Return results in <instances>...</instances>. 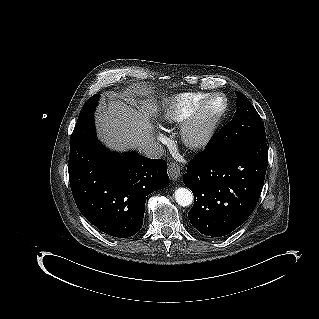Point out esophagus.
I'll use <instances>...</instances> for the list:
<instances>
[{
    "label": "esophagus",
    "instance_id": "1",
    "mask_svg": "<svg viewBox=\"0 0 319 319\" xmlns=\"http://www.w3.org/2000/svg\"><path fill=\"white\" fill-rule=\"evenodd\" d=\"M181 167L178 163L172 162L168 166V175L171 180H176L180 175Z\"/></svg>",
    "mask_w": 319,
    "mask_h": 319
}]
</instances>
